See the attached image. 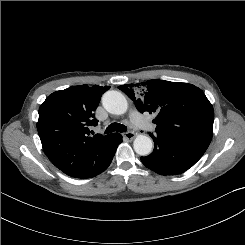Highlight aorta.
<instances>
[{"label": "aorta", "mask_w": 245, "mask_h": 245, "mask_svg": "<svg viewBox=\"0 0 245 245\" xmlns=\"http://www.w3.org/2000/svg\"><path fill=\"white\" fill-rule=\"evenodd\" d=\"M102 105L107 112L122 115L127 111L128 103L125 96L118 91H107L102 97ZM134 150L141 156L149 155L152 151V140L145 134L138 135L133 142Z\"/></svg>", "instance_id": "1"}]
</instances>
